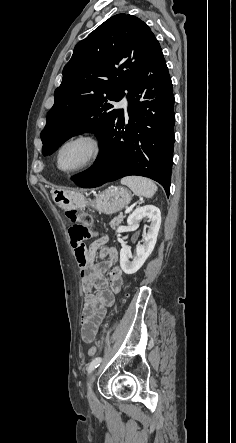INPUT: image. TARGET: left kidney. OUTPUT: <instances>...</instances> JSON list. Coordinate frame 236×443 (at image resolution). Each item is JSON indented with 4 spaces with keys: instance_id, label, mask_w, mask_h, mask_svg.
Listing matches in <instances>:
<instances>
[{
    "instance_id": "obj_1",
    "label": "left kidney",
    "mask_w": 236,
    "mask_h": 443,
    "mask_svg": "<svg viewBox=\"0 0 236 443\" xmlns=\"http://www.w3.org/2000/svg\"><path fill=\"white\" fill-rule=\"evenodd\" d=\"M143 218L149 219L150 225L147 233L142 235L143 244L137 245L132 261L129 260L132 258V254L128 246H123L120 250V266L126 274H134L142 267L152 253L157 241L161 225V212L159 208L153 205L139 207L130 214L127 223L129 226L135 227Z\"/></svg>"
}]
</instances>
